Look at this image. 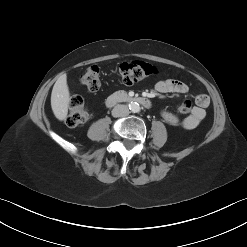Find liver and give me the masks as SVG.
<instances>
[{"mask_svg": "<svg viewBox=\"0 0 247 247\" xmlns=\"http://www.w3.org/2000/svg\"><path fill=\"white\" fill-rule=\"evenodd\" d=\"M70 103V93L66 74L61 75L55 82L51 93V107L55 117L63 121L67 117Z\"/></svg>", "mask_w": 247, "mask_h": 247, "instance_id": "6515ba94", "label": "liver"}]
</instances>
